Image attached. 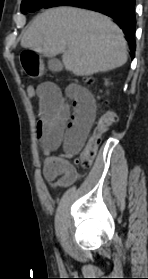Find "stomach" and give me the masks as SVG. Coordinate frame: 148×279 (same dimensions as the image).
<instances>
[{
    "label": "stomach",
    "mask_w": 148,
    "mask_h": 279,
    "mask_svg": "<svg viewBox=\"0 0 148 279\" xmlns=\"http://www.w3.org/2000/svg\"><path fill=\"white\" fill-rule=\"evenodd\" d=\"M20 69H23V75L26 78H33V82H42V78H49L52 75L49 64L40 50H21Z\"/></svg>",
    "instance_id": "obj_1"
}]
</instances>
